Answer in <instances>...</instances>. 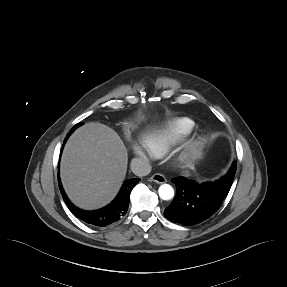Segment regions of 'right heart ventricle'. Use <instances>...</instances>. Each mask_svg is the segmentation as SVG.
Instances as JSON below:
<instances>
[{"label":"right heart ventricle","mask_w":287,"mask_h":287,"mask_svg":"<svg viewBox=\"0 0 287 287\" xmlns=\"http://www.w3.org/2000/svg\"><path fill=\"white\" fill-rule=\"evenodd\" d=\"M193 130L194 123L188 118H169L149 126L145 137L151 152L162 156L173 145L189 137Z\"/></svg>","instance_id":"e07e8e85"}]
</instances>
